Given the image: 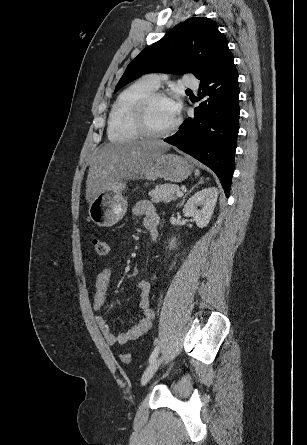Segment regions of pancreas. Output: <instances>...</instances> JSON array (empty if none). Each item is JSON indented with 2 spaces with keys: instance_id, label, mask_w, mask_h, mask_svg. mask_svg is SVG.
<instances>
[{
  "instance_id": "1",
  "label": "pancreas",
  "mask_w": 307,
  "mask_h": 445,
  "mask_svg": "<svg viewBox=\"0 0 307 445\" xmlns=\"http://www.w3.org/2000/svg\"><path fill=\"white\" fill-rule=\"evenodd\" d=\"M177 192H180L178 184H157L153 190H150L149 196H151L152 202H170L175 200Z\"/></svg>"
}]
</instances>
